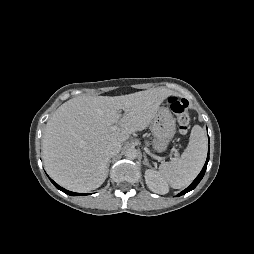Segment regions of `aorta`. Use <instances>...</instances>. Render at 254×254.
Listing matches in <instances>:
<instances>
[{"label": "aorta", "mask_w": 254, "mask_h": 254, "mask_svg": "<svg viewBox=\"0 0 254 254\" xmlns=\"http://www.w3.org/2000/svg\"><path fill=\"white\" fill-rule=\"evenodd\" d=\"M138 156V152L135 148H129L125 151V157L128 159H135Z\"/></svg>", "instance_id": "762f6f07"}]
</instances>
